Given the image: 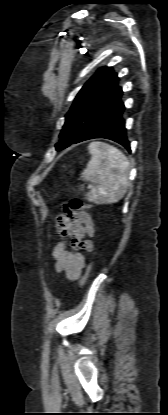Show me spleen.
<instances>
[{"label":"spleen","instance_id":"obj_1","mask_svg":"<svg viewBox=\"0 0 168 415\" xmlns=\"http://www.w3.org/2000/svg\"><path fill=\"white\" fill-rule=\"evenodd\" d=\"M91 159L82 172V178L91 182L89 200L112 204L123 198L128 187L129 161L116 147L92 142L88 146Z\"/></svg>","mask_w":168,"mask_h":415}]
</instances>
